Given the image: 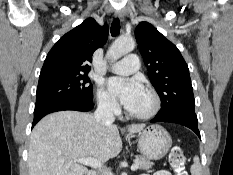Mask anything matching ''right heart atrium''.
I'll use <instances>...</instances> for the list:
<instances>
[{
	"instance_id": "right-heart-atrium-1",
	"label": "right heart atrium",
	"mask_w": 233,
	"mask_h": 175,
	"mask_svg": "<svg viewBox=\"0 0 233 175\" xmlns=\"http://www.w3.org/2000/svg\"><path fill=\"white\" fill-rule=\"evenodd\" d=\"M96 100L98 107L109 114H116L119 109L118 102L113 94L103 86H98L96 91Z\"/></svg>"
}]
</instances>
